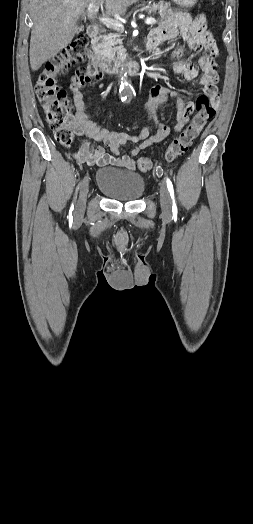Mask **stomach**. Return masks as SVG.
<instances>
[{"mask_svg": "<svg viewBox=\"0 0 253 524\" xmlns=\"http://www.w3.org/2000/svg\"><path fill=\"white\" fill-rule=\"evenodd\" d=\"M198 0H173V2L181 7L190 8L197 3Z\"/></svg>", "mask_w": 253, "mask_h": 524, "instance_id": "1", "label": "stomach"}]
</instances>
